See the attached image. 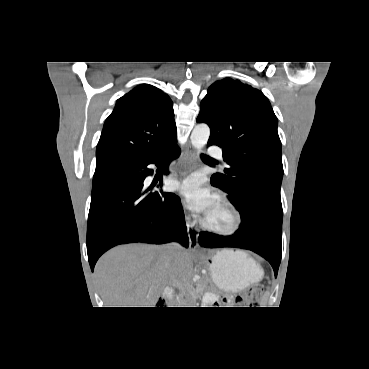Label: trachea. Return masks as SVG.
<instances>
[{"label":"trachea","mask_w":369,"mask_h":369,"mask_svg":"<svg viewBox=\"0 0 369 369\" xmlns=\"http://www.w3.org/2000/svg\"><path fill=\"white\" fill-rule=\"evenodd\" d=\"M202 157H208V156H206V155H202Z\"/></svg>","instance_id":"1"}]
</instances>
